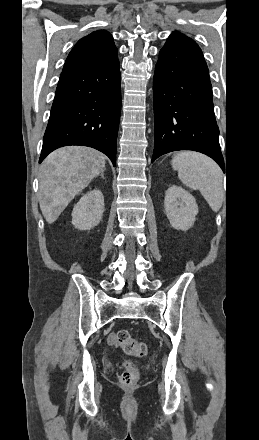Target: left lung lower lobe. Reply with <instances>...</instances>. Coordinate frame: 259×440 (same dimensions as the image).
I'll use <instances>...</instances> for the list:
<instances>
[{
    "label": "left lung lower lobe",
    "mask_w": 259,
    "mask_h": 440,
    "mask_svg": "<svg viewBox=\"0 0 259 440\" xmlns=\"http://www.w3.org/2000/svg\"><path fill=\"white\" fill-rule=\"evenodd\" d=\"M153 97L152 162L172 151L193 150L211 157L225 171L208 67L191 38L171 34L167 39L155 66Z\"/></svg>",
    "instance_id": "left-lung-lower-lobe-1"
}]
</instances>
